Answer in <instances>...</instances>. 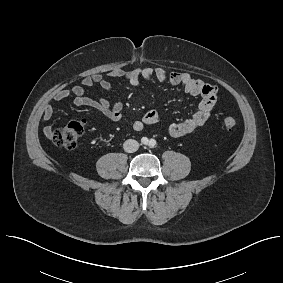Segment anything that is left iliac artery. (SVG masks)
Listing matches in <instances>:
<instances>
[{"instance_id":"1","label":"left iliac artery","mask_w":283,"mask_h":283,"mask_svg":"<svg viewBox=\"0 0 283 283\" xmlns=\"http://www.w3.org/2000/svg\"><path fill=\"white\" fill-rule=\"evenodd\" d=\"M149 145L151 147H154L156 145V141L154 139H151L150 142H149Z\"/></svg>"}]
</instances>
